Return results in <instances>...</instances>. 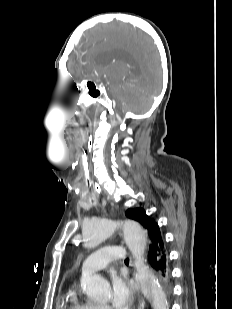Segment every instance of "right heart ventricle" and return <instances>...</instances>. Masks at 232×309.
I'll use <instances>...</instances> for the list:
<instances>
[{"mask_svg": "<svg viewBox=\"0 0 232 309\" xmlns=\"http://www.w3.org/2000/svg\"><path fill=\"white\" fill-rule=\"evenodd\" d=\"M68 309H101V306L83 297L76 289L69 292Z\"/></svg>", "mask_w": 232, "mask_h": 309, "instance_id": "obj_1", "label": "right heart ventricle"}]
</instances>
